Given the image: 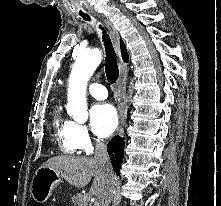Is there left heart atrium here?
I'll return each mask as SVG.
<instances>
[{
    "label": "left heart atrium",
    "mask_w": 221,
    "mask_h": 206,
    "mask_svg": "<svg viewBox=\"0 0 221 206\" xmlns=\"http://www.w3.org/2000/svg\"><path fill=\"white\" fill-rule=\"evenodd\" d=\"M91 126L100 137L111 135L118 125V114L111 104H97L91 109Z\"/></svg>",
    "instance_id": "39dd6f15"
}]
</instances>
